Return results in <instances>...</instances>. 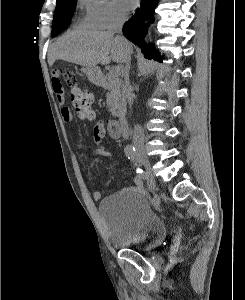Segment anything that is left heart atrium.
Instances as JSON below:
<instances>
[{"label":"left heart atrium","mask_w":245,"mask_h":300,"mask_svg":"<svg viewBox=\"0 0 245 300\" xmlns=\"http://www.w3.org/2000/svg\"><path fill=\"white\" fill-rule=\"evenodd\" d=\"M123 5L128 9H133L137 6L138 0H121Z\"/></svg>","instance_id":"1"}]
</instances>
